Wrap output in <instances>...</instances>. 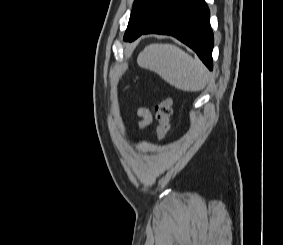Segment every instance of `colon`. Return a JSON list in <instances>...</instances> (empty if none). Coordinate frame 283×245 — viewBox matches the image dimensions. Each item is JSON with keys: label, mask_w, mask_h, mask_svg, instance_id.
Here are the masks:
<instances>
[{"label": "colon", "mask_w": 283, "mask_h": 245, "mask_svg": "<svg viewBox=\"0 0 283 245\" xmlns=\"http://www.w3.org/2000/svg\"><path fill=\"white\" fill-rule=\"evenodd\" d=\"M173 113V99L170 96L165 97L155 107V118L157 121V136L164 140L170 129V118Z\"/></svg>", "instance_id": "colon-1"}]
</instances>
